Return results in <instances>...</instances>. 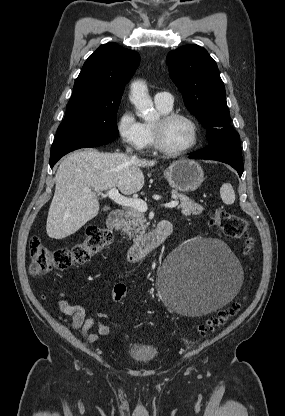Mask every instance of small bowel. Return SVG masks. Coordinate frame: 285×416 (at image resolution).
I'll use <instances>...</instances> for the list:
<instances>
[{"mask_svg": "<svg viewBox=\"0 0 285 416\" xmlns=\"http://www.w3.org/2000/svg\"><path fill=\"white\" fill-rule=\"evenodd\" d=\"M57 305L62 313L72 317L71 327L78 331L81 337L94 342L101 336H107L110 333V327L108 324L102 322L107 319L105 313H97L96 315L87 316L85 309L79 305L70 304L64 299H60ZM96 327L97 334H88V331Z\"/></svg>", "mask_w": 285, "mask_h": 416, "instance_id": "1", "label": "small bowel"}]
</instances>
